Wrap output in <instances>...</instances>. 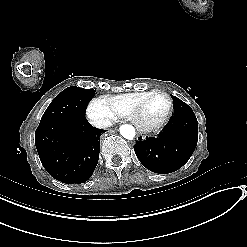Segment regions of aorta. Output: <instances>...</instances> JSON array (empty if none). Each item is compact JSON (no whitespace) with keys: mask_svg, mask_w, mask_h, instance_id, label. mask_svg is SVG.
Wrapping results in <instances>:
<instances>
[{"mask_svg":"<svg viewBox=\"0 0 247 247\" xmlns=\"http://www.w3.org/2000/svg\"><path fill=\"white\" fill-rule=\"evenodd\" d=\"M119 130H120V134L128 140H132L135 137V129L131 125H127V124L121 125Z\"/></svg>","mask_w":247,"mask_h":247,"instance_id":"obj_1","label":"aorta"}]
</instances>
